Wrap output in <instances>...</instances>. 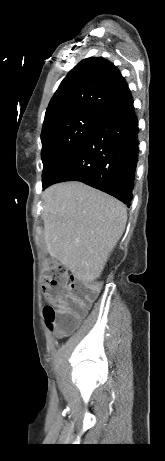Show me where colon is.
Instances as JSON below:
<instances>
[{
	"label": "colon",
	"instance_id": "5ec220e1",
	"mask_svg": "<svg viewBox=\"0 0 165 461\" xmlns=\"http://www.w3.org/2000/svg\"><path fill=\"white\" fill-rule=\"evenodd\" d=\"M44 291L49 300L44 308L47 325L55 335L64 337L79 326L98 285L78 281L68 275L64 265L50 260L44 267Z\"/></svg>",
	"mask_w": 165,
	"mask_h": 461
}]
</instances>
